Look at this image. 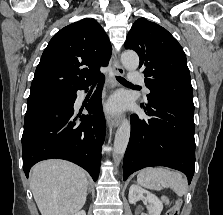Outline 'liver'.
<instances>
[{"label": "liver", "instance_id": "obj_1", "mask_svg": "<svg viewBox=\"0 0 223 215\" xmlns=\"http://www.w3.org/2000/svg\"><path fill=\"white\" fill-rule=\"evenodd\" d=\"M89 181L82 167L64 159L36 163L30 187L42 215H72L86 201Z\"/></svg>", "mask_w": 223, "mask_h": 215}]
</instances>
